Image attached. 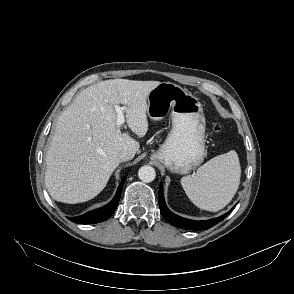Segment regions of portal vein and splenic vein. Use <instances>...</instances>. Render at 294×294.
Instances as JSON below:
<instances>
[{"instance_id":"portal-vein-and-splenic-vein-1","label":"portal vein and splenic vein","mask_w":294,"mask_h":294,"mask_svg":"<svg viewBox=\"0 0 294 294\" xmlns=\"http://www.w3.org/2000/svg\"><path fill=\"white\" fill-rule=\"evenodd\" d=\"M124 110H125V107H120L119 105H115V111L117 113L116 125L118 128L125 122L124 113H123Z\"/></svg>"}]
</instances>
